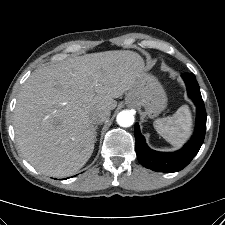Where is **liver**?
Returning a JSON list of instances; mask_svg holds the SVG:
<instances>
[{"instance_id":"1","label":"liver","mask_w":225,"mask_h":225,"mask_svg":"<svg viewBox=\"0 0 225 225\" xmlns=\"http://www.w3.org/2000/svg\"><path fill=\"white\" fill-rule=\"evenodd\" d=\"M143 58L129 50L68 58L35 70L23 84L14 110L16 140L39 172L65 177L91 157L97 108L113 110L115 98L146 75Z\"/></svg>"}]
</instances>
